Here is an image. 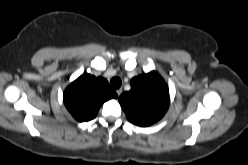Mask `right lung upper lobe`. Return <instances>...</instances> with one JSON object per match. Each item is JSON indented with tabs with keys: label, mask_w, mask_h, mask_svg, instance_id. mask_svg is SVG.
<instances>
[{
	"label": "right lung upper lobe",
	"mask_w": 248,
	"mask_h": 165,
	"mask_svg": "<svg viewBox=\"0 0 248 165\" xmlns=\"http://www.w3.org/2000/svg\"><path fill=\"white\" fill-rule=\"evenodd\" d=\"M117 97L106 79L84 73L66 88L64 104L76 120L83 122L94 119L105 101Z\"/></svg>",
	"instance_id": "cb5924a9"
}]
</instances>
